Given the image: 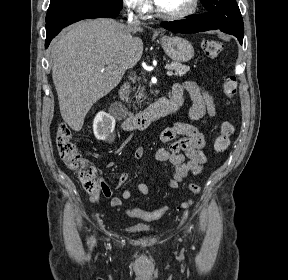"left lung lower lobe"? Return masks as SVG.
Here are the masks:
<instances>
[{"mask_svg":"<svg viewBox=\"0 0 288 280\" xmlns=\"http://www.w3.org/2000/svg\"><path fill=\"white\" fill-rule=\"evenodd\" d=\"M161 25L168 30L180 33H196L200 31L219 29L224 33L235 36L240 41L241 44L243 42L242 35L234 33L226 28L220 27L217 23L210 21L204 15L194 14L185 20L163 22L161 23Z\"/></svg>","mask_w":288,"mask_h":280,"instance_id":"0a47b994","label":"left lung lower lobe"}]
</instances>
